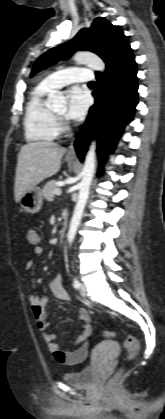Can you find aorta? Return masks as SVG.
<instances>
[{
    "label": "aorta",
    "mask_w": 165,
    "mask_h": 419,
    "mask_svg": "<svg viewBox=\"0 0 165 419\" xmlns=\"http://www.w3.org/2000/svg\"><path fill=\"white\" fill-rule=\"evenodd\" d=\"M73 59L78 64H85L93 70L104 72V61L94 53L91 52H77ZM51 105L53 108L64 107L66 101L61 93L51 96ZM96 145L92 142L89 151L87 152L84 166L82 169V180L79 184L78 200L74 209V213L70 222L69 231L67 234L68 243L71 244L75 238L77 229L80 225L83 211L89 196L90 185L93 180L96 162Z\"/></svg>",
    "instance_id": "762f6f07"
}]
</instances>
